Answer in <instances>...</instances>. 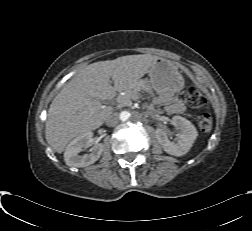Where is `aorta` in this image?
<instances>
[{
	"instance_id": "obj_1",
	"label": "aorta",
	"mask_w": 252,
	"mask_h": 231,
	"mask_svg": "<svg viewBox=\"0 0 252 231\" xmlns=\"http://www.w3.org/2000/svg\"><path fill=\"white\" fill-rule=\"evenodd\" d=\"M119 117L121 121L125 122L130 118V113L128 111H122Z\"/></svg>"
}]
</instances>
